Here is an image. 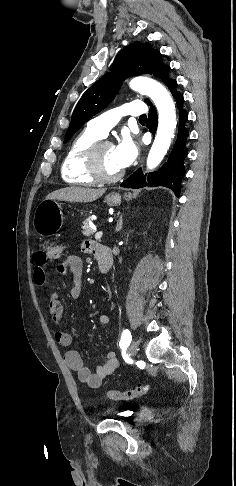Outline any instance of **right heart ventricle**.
<instances>
[{
	"instance_id": "obj_1",
	"label": "right heart ventricle",
	"mask_w": 236,
	"mask_h": 486,
	"mask_svg": "<svg viewBox=\"0 0 236 486\" xmlns=\"http://www.w3.org/2000/svg\"><path fill=\"white\" fill-rule=\"evenodd\" d=\"M101 138L88 127L74 138L61 165V176L64 182L83 186L96 183L86 171L85 158L89 147Z\"/></svg>"
}]
</instances>
